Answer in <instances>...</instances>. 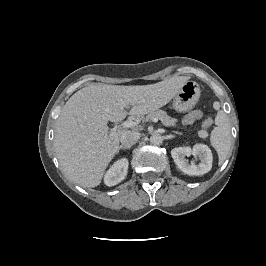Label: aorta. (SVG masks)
Segmentation results:
<instances>
[{
	"mask_svg": "<svg viewBox=\"0 0 266 266\" xmlns=\"http://www.w3.org/2000/svg\"><path fill=\"white\" fill-rule=\"evenodd\" d=\"M163 142V137L160 134H153L150 137V143L152 145H160Z\"/></svg>",
	"mask_w": 266,
	"mask_h": 266,
	"instance_id": "aorta-1",
	"label": "aorta"
}]
</instances>
